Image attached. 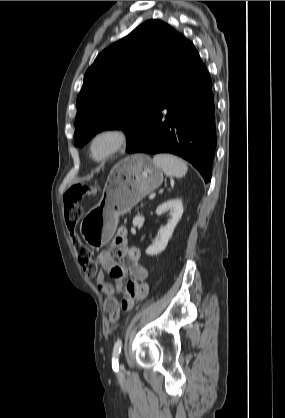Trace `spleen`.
Here are the masks:
<instances>
[{"label": "spleen", "mask_w": 285, "mask_h": 418, "mask_svg": "<svg viewBox=\"0 0 285 418\" xmlns=\"http://www.w3.org/2000/svg\"><path fill=\"white\" fill-rule=\"evenodd\" d=\"M153 163L171 177L181 178L188 170L184 160L171 154H156L153 157Z\"/></svg>", "instance_id": "3e777b00"}]
</instances>
